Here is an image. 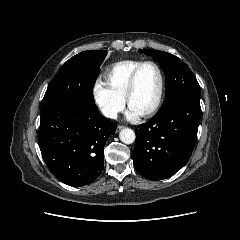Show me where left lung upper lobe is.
<instances>
[{
    "mask_svg": "<svg viewBox=\"0 0 240 240\" xmlns=\"http://www.w3.org/2000/svg\"><path fill=\"white\" fill-rule=\"evenodd\" d=\"M140 51L151 55L164 71L166 93L163 104L183 95L200 96V86L196 77L178 57L164 51Z\"/></svg>",
    "mask_w": 240,
    "mask_h": 240,
    "instance_id": "5c2ea615",
    "label": "left lung upper lobe"
}]
</instances>
